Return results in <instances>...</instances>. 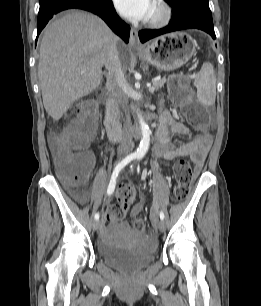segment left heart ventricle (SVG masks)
<instances>
[{
	"label": "left heart ventricle",
	"instance_id": "b2bd125f",
	"mask_svg": "<svg viewBox=\"0 0 261 306\" xmlns=\"http://www.w3.org/2000/svg\"><path fill=\"white\" fill-rule=\"evenodd\" d=\"M154 11H155V8H154V5H153L152 10H151V12H150V15H149V16H151V15L154 13Z\"/></svg>",
	"mask_w": 261,
	"mask_h": 306
}]
</instances>
